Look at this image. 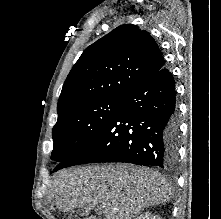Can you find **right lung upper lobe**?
Listing matches in <instances>:
<instances>
[{"label": "right lung upper lobe", "mask_w": 221, "mask_h": 219, "mask_svg": "<svg viewBox=\"0 0 221 219\" xmlns=\"http://www.w3.org/2000/svg\"><path fill=\"white\" fill-rule=\"evenodd\" d=\"M164 63L147 31L121 25L84 50L63 85L58 115L84 102L122 98L162 69Z\"/></svg>", "instance_id": "obj_1"}]
</instances>
